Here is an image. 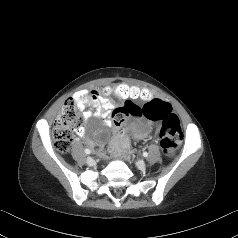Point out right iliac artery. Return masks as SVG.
Here are the masks:
<instances>
[{"label": "right iliac artery", "instance_id": "1", "mask_svg": "<svg viewBox=\"0 0 238 238\" xmlns=\"http://www.w3.org/2000/svg\"><path fill=\"white\" fill-rule=\"evenodd\" d=\"M84 151H85L86 154H90L91 153V151L89 149H85Z\"/></svg>", "mask_w": 238, "mask_h": 238}]
</instances>
